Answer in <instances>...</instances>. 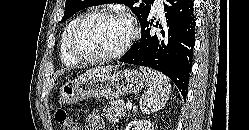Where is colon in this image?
Here are the masks:
<instances>
[{
    "label": "colon",
    "instance_id": "1",
    "mask_svg": "<svg viewBox=\"0 0 249 130\" xmlns=\"http://www.w3.org/2000/svg\"><path fill=\"white\" fill-rule=\"evenodd\" d=\"M55 119L59 124L60 130H80L78 123L66 110L58 108L55 112Z\"/></svg>",
    "mask_w": 249,
    "mask_h": 130
}]
</instances>
